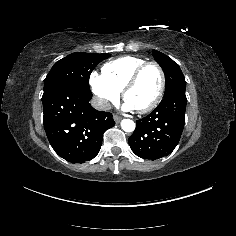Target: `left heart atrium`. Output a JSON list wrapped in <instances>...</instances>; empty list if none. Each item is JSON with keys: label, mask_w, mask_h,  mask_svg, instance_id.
Listing matches in <instances>:
<instances>
[{"label": "left heart atrium", "mask_w": 236, "mask_h": 236, "mask_svg": "<svg viewBox=\"0 0 236 236\" xmlns=\"http://www.w3.org/2000/svg\"><path fill=\"white\" fill-rule=\"evenodd\" d=\"M123 108H124L125 110H133V109H134V108H133L129 103H127V102L124 104Z\"/></svg>", "instance_id": "obj_1"}]
</instances>
